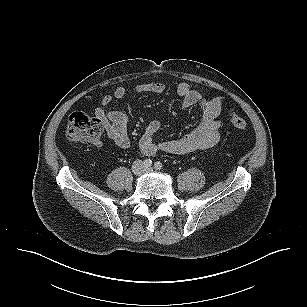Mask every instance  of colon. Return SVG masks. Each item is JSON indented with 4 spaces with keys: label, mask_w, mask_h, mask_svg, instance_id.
<instances>
[{
    "label": "colon",
    "mask_w": 307,
    "mask_h": 307,
    "mask_svg": "<svg viewBox=\"0 0 307 307\" xmlns=\"http://www.w3.org/2000/svg\"><path fill=\"white\" fill-rule=\"evenodd\" d=\"M222 108L229 114L235 128L244 130L248 127V123L233 113L226 103H222ZM102 132L103 126L98 119L82 112H74L68 119L66 138L72 144L95 143L100 139Z\"/></svg>",
    "instance_id": "colon-1"
}]
</instances>
